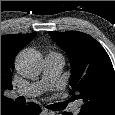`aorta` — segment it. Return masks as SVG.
Masks as SVG:
<instances>
[{"label": "aorta", "mask_w": 115, "mask_h": 115, "mask_svg": "<svg viewBox=\"0 0 115 115\" xmlns=\"http://www.w3.org/2000/svg\"><path fill=\"white\" fill-rule=\"evenodd\" d=\"M15 64L20 75L33 78L40 73L43 63L39 52L33 49H25L18 54Z\"/></svg>", "instance_id": "aorta-1"}]
</instances>
